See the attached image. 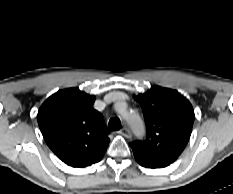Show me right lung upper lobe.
I'll list each match as a JSON object with an SVG mask.
<instances>
[{"label":"right lung upper lobe","instance_id":"1","mask_svg":"<svg viewBox=\"0 0 233 194\" xmlns=\"http://www.w3.org/2000/svg\"><path fill=\"white\" fill-rule=\"evenodd\" d=\"M95 96L78 88L50 96L40 107L38 124L55 155L71 167L84 168L99 162L109 145L103 116L93 109Z\"/></svg>","mask_w":233,"mask_h":194}]
</instances>
